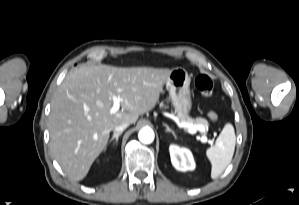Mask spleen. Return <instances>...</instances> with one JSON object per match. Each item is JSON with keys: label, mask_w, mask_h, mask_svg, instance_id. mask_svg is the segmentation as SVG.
<instances>
[{"label": "spleen", "mask_w": 299, "mask_h": 205, "mask_svg": "<svg viewBox=\"0 0 299 205\" xmlns=\"http://www.w3.org/2000/svg\"><path fill=\"white\" fill-rule=\"evenodd\" d=\"M236 144L234 127L227 123L216 139V144L206 150V156L211 162V178L219 177L230 164Z\"/></svg>", "instance_id": "3e777b00"}]
</instances>
